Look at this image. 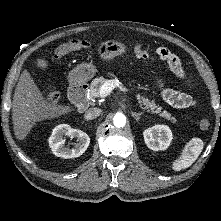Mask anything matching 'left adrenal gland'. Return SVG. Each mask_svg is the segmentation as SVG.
Segmentation results:
<instances>
[{"instance_id":"left-adrenal-gland-1","label":"left adrenal gland","mask_w":221,"mask_h":221,"mask_svg":"<svg viewBox=\"0 0 221 221\" xmlns=\"http://www.w3.org/2000/svg\"><path fill=\"white\" fill-rule=\"evenodd\" d=\"M142 114H143V112H139V113H136V112H131V115H132V117H134V118H135L136 122H138V121H139L140 116H141Z\"/></svg>"}]
</instances>
